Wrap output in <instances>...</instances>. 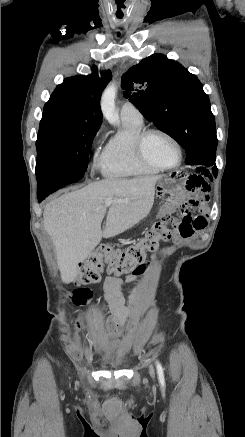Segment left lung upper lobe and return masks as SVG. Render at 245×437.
I'll use <instances>...</instances> for the list:
<instances>
[{
    "label": "left lung upper lobe",
    "instance_id": "left-lung-upper-lobe-1",
    "mask_svg": "<svg viewBox=\"0 0 245 437\" xmlns=\"http://www.w3.org/2000/svg\"><path fill=\"white\" fill-rule=\"evenodd\" d=\"M121 83L124 97L185 149L187 164L214 165L215 118L195 75L166 56L153 54L124 73Z\"/></svg>",
    "mask_w": 245,
    "mask_h": 437
}]
</instances>
